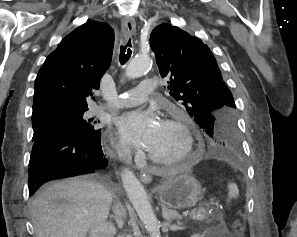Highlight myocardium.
I'll return each instance as SVG.
<instances>
[{"label":"myocardium","mask_w":297,"mask_h":237,"mask_svg":"<svg viewBox=\"0 0 297 237\" xmlns=\"http://www.w3.org/2000/svg\"><path fill=\"white\" fill-rule=\"evenodd\" d=\"M163 123L177 128L183 137L184 146L182 152L172 158L162 159L158 158L148 151V158L158 166H167L181 163L187 160L194 151L195 141L191 131L189 120L182 114H174L163 120Z\"/></svg>","instance_id":"myocardium-1"}]
</instances>
